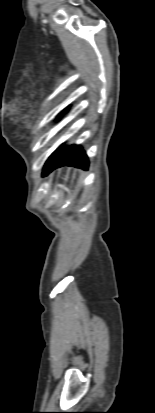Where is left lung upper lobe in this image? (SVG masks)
I'll return each mask as SVG.
<instances>
[{
  "instance_id": "obj_1",
  "label": "left lung upper lobe",
  "mask_w": 155,
  "mask_h": 413,
  "mask_svg": "<svg viewBox=\"0 0 155 413\" xmlns=\"http://www.w3.org/2000/svg\"><path fill=\"white\" fill-rule=\"evenodd\" d=\"M61 114H62V113H61ZM60 150H61V147L58 148V149L53 153V155L56 154V153H58V152H60Z\"/></svg>"
}]
</instances>
